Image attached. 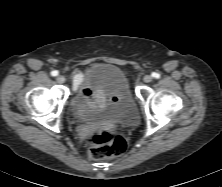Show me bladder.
Returning <instances> with one entry per match:
<instances>
[{"instance_id": "bladder-1", "label": "bladder", "mask_w": 222, "mask_h": 187, "mask_svg": "<svg viewBox=\"0 0 222 187\" xmlns=\"http://www.w3.org/2000/svg\"><path fill=\"white\" fill-rule=\"evenodd\" d=\"M80 91L69 102V113L76 122L102 120L113 125L130 126L139 120V112L125 73L114 64L92 65L84 74ZM83 87L101 90L105 100L91 105Z\"/></svg>"}]
</instances>
